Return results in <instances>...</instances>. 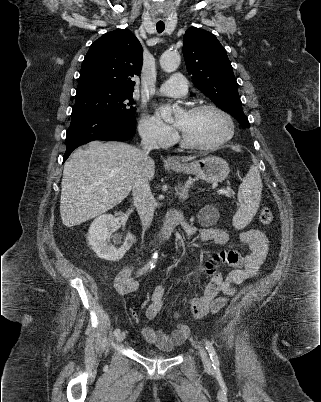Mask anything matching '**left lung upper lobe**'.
Listing matches in <instances>:
<instances>
[{
	"label": "left lung upper lobe",
	"instance_id": "obj_1",
	"mask_svg": "<svg viewBox=\"0 0 321 402\" xmlns=\"http://www.w3.org/2000/svg\"><path fill=\"white\" fill-rule=\"evenodd\" d=\"M183 55L195 86L220 109L244 127H250L243 112L237 81L225 48L215 35L191 27L184 36Z\"/></svg>",
	"mask_w": 321,
	"mask_h": 402
}]
</instances>
